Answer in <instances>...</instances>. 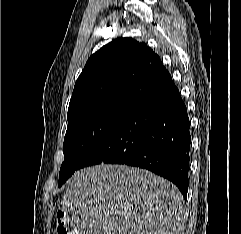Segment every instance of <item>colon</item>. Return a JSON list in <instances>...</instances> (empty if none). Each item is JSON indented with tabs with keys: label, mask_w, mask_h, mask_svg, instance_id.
Segmentation results:
<instances>
[{
	"label": "colon",
	"mask_w": 241,
	"mask_h": 234,
	"mask_svg": "<svg viewBox=\"0 0 241 234\" xmlns=\"http://www.w3.org/2000/svg\"><path fill=\"white\" fill-rule=\"evenodd\" d=\"M56 230L57 234H75L70 218L62 211L56 215Z\"/></svg>",
	"instance_id": "obj_1"
}]
</instances>
